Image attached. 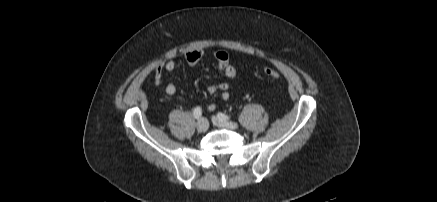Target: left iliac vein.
<instances>
[{
  "mask_svg": "<svg viewBox=\"0 0 437 202\" xmlns=\"http://www.w3.org/2000/svg\"><path fill=\"white\" fill-rule=\"evenodd\" d=\"M212 122L214 125H216L218 127H222V128H227V129H237L238 128L237 123L231 122V121H226V120H221L216 116L212 117Z\"/></svg>",
  "mask_w": 437,
  "mask_h": 202,
  "instance_id": "left-iliac-vein-1",
  "label": "left iliac vein"
}]
</instances>
